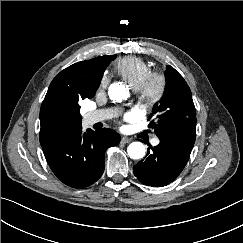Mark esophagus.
Returning <instances> with one entry per match:
<instances>
[{
  "mask_svg": "<svg viewBox=\"0 0 243 243\" xmlns=\"http://www.w3.org/2000/svg\"><path fill=\"white\" fill-rule=\"evenodd\" d=\"M129 142H131V138L126 137V136H123V137L121 138V143H122V144H126V143H129Z\"/></svg>",
  "mask_w": 243,
  "mask_h": 243,
  "instance_id": "34e87169",
  "label": "esophagus"
}]
</instances>
